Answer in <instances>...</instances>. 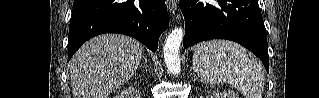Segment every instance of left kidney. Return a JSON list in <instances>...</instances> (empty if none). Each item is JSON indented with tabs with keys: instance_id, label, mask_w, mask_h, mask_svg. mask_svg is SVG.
Here are the masks:
<instances>
[{
	"instance_id": "obj_1",
	"label": "left kidney",
	"mask_w": 319,
	"mask_h": 98,
	"mask_svg": "<svg viewBox=\"0 0 319 98\" xmlns=\"http://www.w3.org/2000/svg\"><path fill=\"white\" fill-rule=\"evenodd\" d=\"M210 98H239L238 94H236L233 91H224V92H220L219 90H215Z\"/></svg>"
}]
</instances>
